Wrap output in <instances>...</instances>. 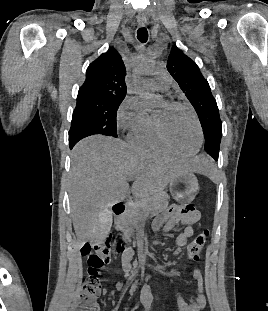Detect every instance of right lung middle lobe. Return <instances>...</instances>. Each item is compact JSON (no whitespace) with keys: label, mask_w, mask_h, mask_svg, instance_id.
<instances>
[{"label":"right lung middle lobe","mask_w":268,"mask_h":311,"mask_svg":"<svg viewBox=\"0 0 268 311\" xmlns=\"http://www.w3.org/2000/svg\"><path fill=\"white\" fill-rule=\"evenodd\" d=\"M123 99L100 96H77L69 137L84 132L117 137L116 116Z\"/></svg>","instance_id":"dd1d6c3e"}]
</instances>
